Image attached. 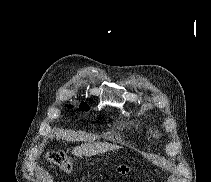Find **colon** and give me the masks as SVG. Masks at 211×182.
Masks as SVG:
<instances>
[{
	"label": "colon",
	"instance_id": "1",
	"mask_svg": "<svg viewBox=\"0 0 211 182\" xmlns=\"http://www.w3.org/2000/svg\"><path fill=\"white\" fill-rule=\"evenodd\" d=\"M46 158L50 163L60 167L63 171L67 173H71L73 171L72 161L60 151L47 152Z\"/></svg>",
	"mask_w": 211,
	"mask_h": 182
}]
</instances>
